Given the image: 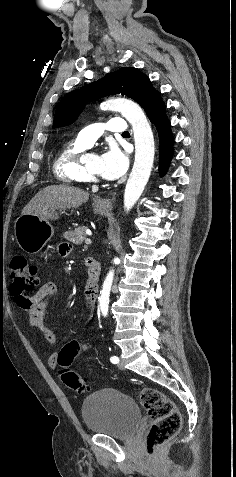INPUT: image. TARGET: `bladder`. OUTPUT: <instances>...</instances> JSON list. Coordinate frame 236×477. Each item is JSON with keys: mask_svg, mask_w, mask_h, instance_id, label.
<instances>
[{"mask_svg": "<svg viewBox=\"0 0 236 477\" xmlns=\"http://www.w3.org/2000/svg\"><path fill=\"white\" fill-rule=\"evenodd\" d=\"M81 415L89 432L123 440L133 438L142 417L130 396L109 387L88 396L81 406Z\"/></svg>", "mask_w": 236, "mask_h": 477, "instance_id": "31cf9c89", "label": "bladder"}]
</instances>
